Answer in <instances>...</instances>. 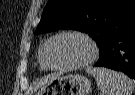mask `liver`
<instances>
[{
	"label": "liver",
	"instance_id": "liver-1",
	"mask_svg": "<svg viewBox=\"0 0 135 95\" xmlns=\"http://www.w3.org/2000/svg\"><path fill=\"white\" fill-rule=\"evenodd\" d=\"M56 77L57 75H51V76L45 77L44 79L37 82V84L34 86V90H37L39 87L46 85L51 79H54Z\"/></svg>",
	"mask_w": 135,
	"mask_h": 95
}]
</instances>
